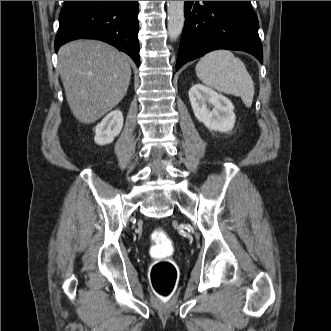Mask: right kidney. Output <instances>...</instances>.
<instances>
[{
    "label": "right kidney",
    "instance_id": "right-kidney-1",
    "mask_svg": "<svg viewBox=\"0 0 331 331\" xmlns=\"http://www.w3.org/2000/svg\"><path fill=\"white\" fill-rule=\"evenodd\" d=\"M123 127V115L119 110L110 112L96 126L95 143L98 145L110 144L114 138L119 135Z\"/></svg>",
    "mask_w": 331,
    "mask_h": 331
}]
</instances>
